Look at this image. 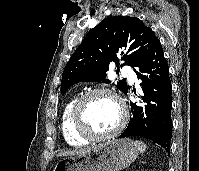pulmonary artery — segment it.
Here are the masks:
<instances>
[{
	"label": "pulmonary artery",
	"mask_w": 199,
	"mask_h": 171,
	"mask_svg": "<svg viewBox=\"0 0 199 171\" xmlns=\"http://www.w3.org/2000/svg\"><path fill=\"white\" fill-rule=\"evenodd\" d=\"M122 72L128 76L129 80L131 82H135L136 81V76L134 75V73L128 68V67H123L122 68Z\"/></svg>",
	"instance_id": "obj_1"
}]
</instances>
